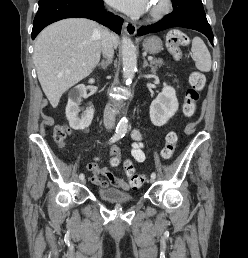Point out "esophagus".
Listing matches in <instances>:
<instances>
[{
	"instance_id": "34e87169",
	"label": "esophagus",
	"mask_w": 248,
	"mask_h": 258,
	"mask_svg": "<svg viewBox=\"0 0 248 258\" xmlns=\"http://www.w3.org/2000/svg\"><path fill=\"white\" fill-rule=\"evenodd\" d=\"M124 30L128 35H134L137 31V26L132 22H124Z\"/></svg>"
}]
</instances>
